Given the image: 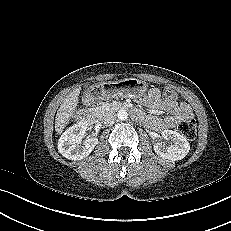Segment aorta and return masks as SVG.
<instances>
[{"label": "aorta", "instance_id": "762f6f07", "mask_svg": "<svg viewBox=\"0 0 231 231\" xmlns=\"http://www.w3.org/2000/svg\"><path fill=\"white\" fill-rule=\"evenodd\" d=\"M117 117H118L119 120L125 121L128 118V113H127L126 110H120L117 113Z\"/></svg>", "mask_w": 231, "mask_h": 231}]
</instances>
